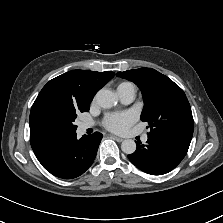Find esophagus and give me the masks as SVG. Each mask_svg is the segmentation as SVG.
Returning a JSON list of instances; mask_svg holds the SVG:
<instances>
[{
  "mask_svg": "<svg viewBox=\"0 0 223 223\" xmlns=\"http://www.w3.org/2000/svg\"><path fill=\"white\" fill-rule=\"evenodd\" d=\"M111 138L116 140L117 142H122L124 139L123 138H119L117 136L111 135Z\"/></svg>",
  "mask_w": 223,
  "mask_h": 223,
  "instance_id": "1",
  "label": "esophagus"
}]
</instances>
